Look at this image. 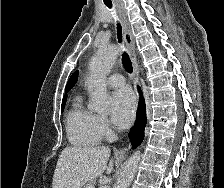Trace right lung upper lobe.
I'll return each mask as SVG.
<instances>
[{
    "label": "right lung upper lobe",
    "mask_w": 224,
    "mask_h": 188,
    "mask_svg": "<svg viewBox=\"0 0 224 188\" xmlns=\"http://www.w3.org/2000/svg\"><path fill=\"white\" fill-rule=\"evenodd\" d=\"M77 78H78V71L74 72L73 75L70 77L65 92H68L75 85V83L77 82ZM66 98L67 96H64L62 102H66Z\"/></svg>",
    "instance_id": "obj_1"
}]
</instances>
